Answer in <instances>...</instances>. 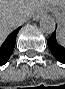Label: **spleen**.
I'll use <instances>...</instances> for the list:
<instances>
[{
	"instance_id": "3e777b00",
	"label": "spleen",
	"mask_w": 65,
	"mask_h": 89,
	"mask_svg": "<svg viewBox=\"0 0 65 89\" xmlns=\"http://www.w3.org/2000/svg\"><path fill=\"white\" fill-rule=\"evenodd\" d=\"M57 39H58L60 45H62V46L65 45V30L63 27H60L57 30Z\"/></svg>"
}]
</instances>
